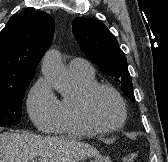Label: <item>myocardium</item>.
I'll use <instances>...</instances> for the list:
<instances>
[{
    "mask_svg": "<svg viewBox=\"0 0 168 162\" xmlns=\"http://www.w3.org/2000/svg\"><path fill=\"white\" fill-rule=\"evenodd\" d=\"M99 90L109 91L116 98L120 109H121V118L118 123L111 126H104L99 124L93 117L90 110V101L93 95ZM77 109L80 118L86 123L89 127L97 132H114L121 129L127 120V106L119 91L109 84L104 83H93L86 89H84L78 97Z\"/></svg>",
    "mask_w": 168,
    "mask_h": 162,
    "instance_id": "myocardium-1",
    "label": "myocardium"
}]
</instances>
